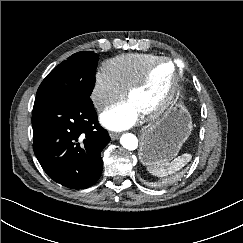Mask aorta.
I'll return each mask as SVG.
<instances>
[{"mask_svg":"<svg viewBox=\"0 0 243 243\" xmlns=\"http://www.w3.org/2000/svg\"><path fill=\"white\" fill-rule=\"evenodd\" d=\"M121 145L130 151L135 150L138 147V139L132 133H125L120 138Z\"/></svg>","mask_w":243,"mask_h":243,"instance_id":"aorta-1","label":"aorta"}]
</instances>
